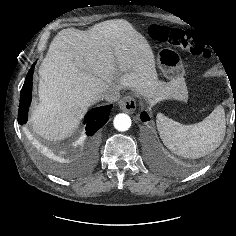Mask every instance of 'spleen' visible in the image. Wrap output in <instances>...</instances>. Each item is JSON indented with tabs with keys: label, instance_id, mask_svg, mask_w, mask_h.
I'll return each mask as SVG.
<instances>
[{
	"label": "spleen",
	"instance_id": "spleen-1",
	"mask_svg": "<svg viewBox=\"0 0 236 236\" xmlns=\"http://www.w3.org/2000/svg\"><path fill=\"white\" fill-rule=\"evenodd\" d=\"M157 129L164 145L176 155L200 158L220 146L225 136V113L217 106L203 121L183 125L162 113L156 116Z\"/></svg>",
	"mask_w": 236,
	"mask_h": 236
}]
</instances>
